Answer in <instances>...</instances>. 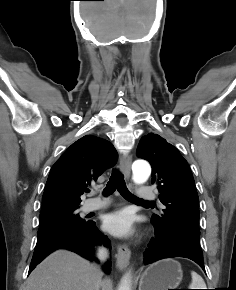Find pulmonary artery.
<instances>
[{
  "label": "pulmonary artery",
  "mask_w": 236,
  "mask_h": 290,
  "mask_svg": "<svg viewBox=\"0 0 236 290\" xmlns=\"http://www.w3.org/2000/svg\"><path fill=\"white\" fill-rule=\"evenodd\" d=\"M137 198L143 201L154 200L156 198V193L151 188L146 189H138L137 190ZM108 205V201L99 200V199H89L83 205V210L85 212H90L94 210H98L104 208Z\"/></svg>",
  "instance_id": "e3ab8cb5"
}]
</instances>
